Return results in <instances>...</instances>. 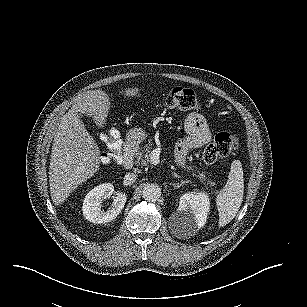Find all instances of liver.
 Segmentation results:
<instances>
[{"label":"liver","instance_id":"6515ba94","mask_svg":"<svg viewBox=\"0 0 307 307\" xmlns=\"http://www.w3.org/2000/svg\"><path fill=\"white\" fill-rule=\"evenodd\" d=\"M133 92V91H132ZM108 109L105 93L89 91L78 98L62 118L53 138L49 165L50 195L62 203L81 182L99 169V148L78 118L85 113L103 124Z\"/></svg>","mask_w":307,"mask_h":307}]
</instances>
